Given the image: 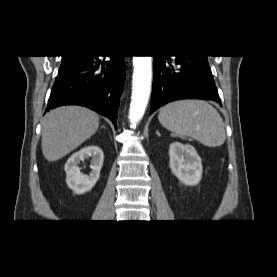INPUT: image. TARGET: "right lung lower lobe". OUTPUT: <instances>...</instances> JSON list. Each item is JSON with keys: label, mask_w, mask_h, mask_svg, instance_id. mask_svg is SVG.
I'll use <instances>...</instances> for the list:
<instances>
[{"label": "right lung lower lobe", "mask_w": 277, "mask_h": 277, "mask_svg": "<svg viewBox=\"0 0 277 277\" xmlns=\"http://www.w3.org/2000/svg\"><path fill=\"white\" fill-rule=\"evenodd\" d=\"M85 55L58 76L48 101V108L62 105H82L108 117L117 124L119 98L125 80L124 56Z\"/></svg>", "instance_id": "1"}]
</instances>
